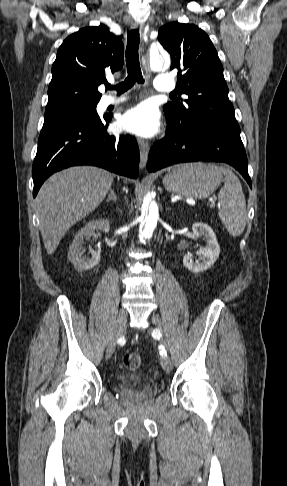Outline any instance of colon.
<instances>
[{
    "instance_id": "1",
    "label": "colon",
    "mask_w": 287,
    "mask_h": 486,
    "mask_svg": "<svg viewBox=\"0 0 287 486\" xmlns=\"http://www.w3.org/2000/svg\"><path fill=\"white\" fill-rule=\"evenodd\" d=\"M123 363L130 370L138 369L142 364V358L138 353L130 352L123 357Z\"/></svg>"
}]
</instances>
